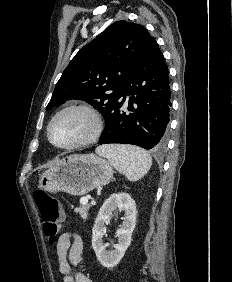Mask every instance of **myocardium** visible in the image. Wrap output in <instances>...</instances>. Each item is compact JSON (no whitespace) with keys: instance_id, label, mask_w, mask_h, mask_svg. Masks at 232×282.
Listing matches in <instances>:
<instances>
[{"instance_id":"obj_1","label":"myocardium","mask_w":232,"mask_h":282,"mask_svg":"<svg viewBox=\"0 0 232 282\" xmlns=\"http://www.w3.org/2000/svg\"><path fill=\"white\" fill-rule=\"evenodd\" d=\"M71 111H81L84 112L86 114H88L92 121H93V128L92 131L90 132V134L85 137L82 140H79L77 142L71 143V144H67V145H60L57 144L56 142H54V140L52 139V135H51V128L54 124V122L63 114L67 113V112H71ZM47 138L48 141L51 143V145H53L54 147L61 149V150H73V149H79V148H83L86 147L94 142H96L99 137L102 134L103 131V121L102 118L99 114V112L91 105L86 104V103H75V104H69L64 106L63 108H61L60 110H58L50 119L48 125H47Z\"/></svg>"}]
</instances>
